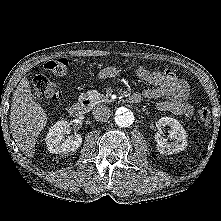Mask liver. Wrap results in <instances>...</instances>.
Returning <instances> with one entry per match:
<instances>
[{
    "instance_id": "liver-1",
    "label": "liver",
    "mask_w": 221,
    "mask_h": 221,
    "mask_svg": "<svg viewBox=\"0 0 221 221\" xmlns=\"http://www.w3.org/2000/svg\"><path fill=\"white\" fill-rule=\"evenodd\" d=\"M10 129L17 146L27 157L34 156L36 140L47 124L43 108L32 98L26 77L18 84L10 108Z\"/></svg>"
}]
</instances>
